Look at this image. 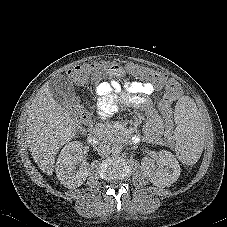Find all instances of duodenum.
Wrapping results in <instances>:
<instances>
[{
  "mask_svg": "<svg viewBox=\"0 0 227 227\" xmlns=\"http://www.w3.org/2000/svg\"><path fill=\"white\" fill-rule=\"evenodd\" d=\"M87 141L91 145H97L99 143L98 132L97 131L88 132Z\"/></svg>",
  "mask_w": 227,
  "mask_h": 227,
  "instance_id": "1",
  "label": "duodenum"
}]
</instances>
